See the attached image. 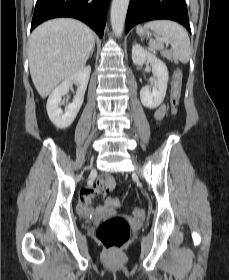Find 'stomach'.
Listing matches in <instances>:
<instances>
[{
  "instance_id": "1",
  "label": "stomach",
  "mask_w": 229,
  "mask_h": 280,
  "mask_svg": "<svg viewBox=\"0 0 229 280\" xmlns=\"http://www.w3.org/2000/svg\"><path fill=\"white\" fill-rule=\"evenodd\" d=\"M136 32H137V34H138L140 37H143V36H145V35H149V34H150L146 29H144V28H142V27H140V26L136 28Z\"/></svg>"
}]
</instances>
